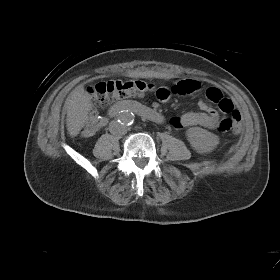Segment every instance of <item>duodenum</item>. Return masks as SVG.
I'll list each match as a JSON object with an SVG mask.
<instances>
[{
	"mask_svg": "<svg viewBox=\"0 0 280 280\" xmlns=\"http://www.w3.org/2000/svg\"><path fill=\"white\" fill-rule=\"evenodd\" d=\"M122 112H133L156 123H162L164 121L163 115L157 110L136 101H125L117 103L109 109L108 115L110 117H116Z\"/></svg>",
	"mask_w": 280,
	"mask_h": 280,
	"instance_id": "duodenum-1",
	"label": "duodenum"
}]
</instances>
